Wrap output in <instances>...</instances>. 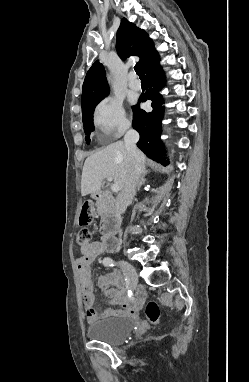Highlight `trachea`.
Here are the masks:
<instances>
[{
    "instance_id": "obj_1",
    "label": "trachea",
    "mask_w": 249,
    "mask_h": 382,
    "mask_svg": "<svg viewBox=\"0 0 249 382\" xmlns=\"http://www.w3.org/2000/svg\"><path fill=\"white\" fill-rule=\"evenodd\" d=\"M135 72L136 74L140 77V78H146L145 74L143 73V71L141 70L140 66L138 63H136L135 67Z\"/></svg>"
}]
</instances>
